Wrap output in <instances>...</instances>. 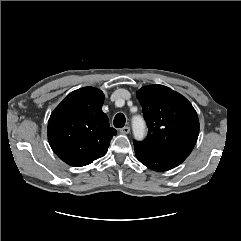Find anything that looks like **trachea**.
Listing matches in <instances>:
<instances>
[{
	"label": "trachea",
	"mask_w": 241,
	"mask_h": 241,
	"mask_svg": "<svg viewBox=\"0 0 241 241\" xmlns=\"http://www.w3.org/2000/svg\"><path fill=\"white\" fill-rule=\"evenodd\" d=\"M125 122H126V118H125L124 114H122V113H118L114 117L113 123H114V126L117 127V128L124 127Z\"/></svg>",
	"instance_id": "obj_1"
}]
</instances>
